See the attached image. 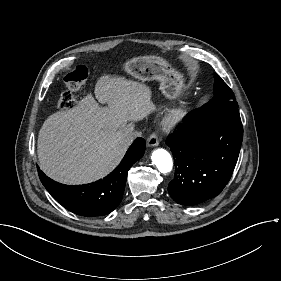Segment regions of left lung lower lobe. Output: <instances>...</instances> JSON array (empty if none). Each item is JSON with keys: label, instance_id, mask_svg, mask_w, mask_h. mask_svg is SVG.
I'll return each mask as SVG.
<instances>
[{"label": "left lung lower lobe", "instance_id": "left-lung-lower-lobe-1", "mask_svg": "<svg viewBox=\"0 0 281 281\" xmlns=\"http://www.w3.org/2000/svg\"><path fill=\"white\" fill-rule=\"evenodd\" d=\"M243 126L238 109H196L167 140L175 158L171 198L185 206L216 197L238 160Z\"/></svg>", "mask_w": 281, "mask_h": 281}]
</instances>
